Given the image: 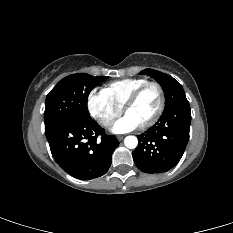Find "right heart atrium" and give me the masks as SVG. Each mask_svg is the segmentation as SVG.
<instances>
[{
  "mask_svg": "<svg viewBox=\"0 0 233 233\" xmlns=\"http://www.w3.org/2000/svg\"><path fill=\"white\" fill-rule=\"evenodd\" d=\"M90 115L102 126L107 127L121 114L122 107L113 103L103 91L93 90L87 98Z\"/></svg>",
  "mask_w": 233,
  "mask_h": 233,
  "instance_id": "1",
  "label": "right heart atrium"
}]
</instances>
